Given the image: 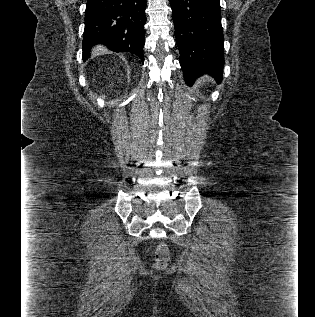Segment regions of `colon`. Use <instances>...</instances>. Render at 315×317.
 <instances>
[{"mask_svg":"<svg viewBox=\"0 0 315 317\" xmlns=\"http://www.w3.org/2000/svg\"><path fill=\"white\" fill-rule=\"evenodd\" d=\"M169 249L165 244H160L155 252V266L159 269L164 268L169 260Z\"/></svg>","mask_w":315,"mask_h":317,"instance_id":"obj_1","label":"colon"}]
</instances>
